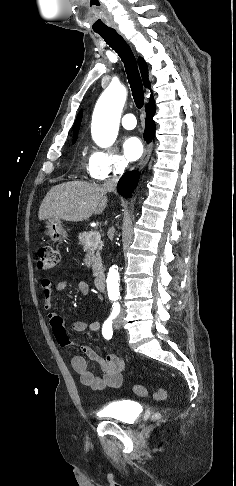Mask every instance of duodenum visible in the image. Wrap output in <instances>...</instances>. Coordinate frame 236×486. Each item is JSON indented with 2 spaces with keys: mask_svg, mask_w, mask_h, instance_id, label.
<instances>
[{
  "mask_svg": "<svg viewBox=\"0 0 236 486\" xmlns=\"http://www.w3.org/2000/svg\"><path fill=\"white\" fill-rule=\"evenodd\" d=\"M94 285L97 290L104 291L106 288L105 275L102 273L97 274L94 278Z\"/></svg>",
  "mask_w": 236,
  "mask_h": 486,
  "instance_id": "1",
  "label": "duodenum"
}]
</instances>
